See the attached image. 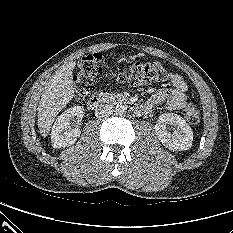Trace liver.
I'll list each match as a JSON object with an SVG mask.
<instances>
[{"label": "liver", "instance_id": "6515ba94", "mask_svg": "<svg viewBox=\"0 0 233 233\" xmlns=\"http://www.w3.org/2000/svg\"><path fill=\"white\" fill-rule=\"evenodd\" d=\"M75 65V62H69L61 66L45 87L37 108L39 132L43 137L49 133L57 114L74 96L72 74Z\"/></svg>", "mask_w": 233, "mask_h": 233}]
</instances>
